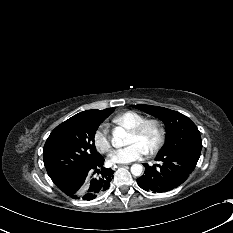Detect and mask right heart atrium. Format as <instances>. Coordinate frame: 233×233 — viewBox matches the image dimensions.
I'll return each instance as SVG.
<instances>
[{"label":"right heart atrium","mask_w":233,"mask_h":233,"mask_svg":"<svg viewBox=\"0 0 233 233\" xmlns=\"http://www.w3.org/2000/svg\"><path fill=\"white\" fill-rule=\"evenodd\" d=\"M93 142L97 150L102 153H107L111 149V140L104 127H100L95 131Z\"/></svg>","instance_id":"obj_1"}]
</instances>
